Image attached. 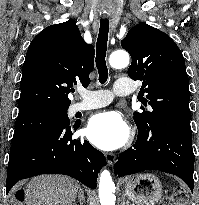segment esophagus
I'll use <instances>...</instances> for the list:
<instances>
[{"instance_id":"34e87169","label":"esophagus","mask_w":199,"mask_h":205,"mask_svg":"<svg viewBox=\"0 0 199 205\" xmlns=\"http://www.w3.org/2000/svg\"><path fill=\"white\" fill-rule=\"evenodd\" d=\"M106 161L109 165H113L116 160V156L113 153H105Z\"/></svg>"}]
</instances>
